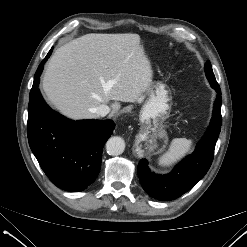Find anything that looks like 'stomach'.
Segmentation results:
<instances>
[{"instance_id":"1","label":"stomach","mask_w":247,"mask_h":247,"mask_svg":"<svg viewBox=\"0 0 247 247\" xmlns=\"http://www.w3.org/2000/svg\"><path fill=\"white\" fill-rule=\"evenodd\" d=\"M146 99L139 114L140 121L146 127L158 126L169 117L172 107V94L162 82L151 83L146 94L139 99Z\"/></svg>"}]
</instances>
